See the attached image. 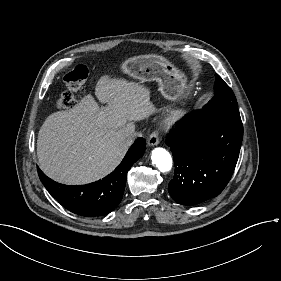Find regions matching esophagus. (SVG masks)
<instances>
[{"instance_id": "34e87169", "label": "esophagus", "mask_w": 281, "mask_h": 281, "mask_svg": "<svg viewBox=\"0 0 281 281\" xmlns=\"http://www.w3.org/2000/svg\"><path fill=\"white\" fill-rule=\"evenodd\" d=\"M159 143V133L157 130L152 131L148 139L149 146H155Z\"/></svg>"}]
</instances>
